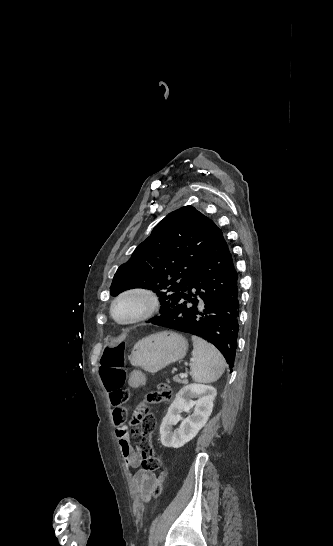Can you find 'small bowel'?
<instances>
[{
	"mask_svg": "<svg viewBox=\"0 0 333 546\" xmlns=\"http://www.w3.org/2000/svg\"><path fill=\"white\" fill-rule=\"evenodd\" d=\"M142 374L143 373L141 371H138L137 367L131 368L129 371V378L133 381L131 383L133 386L138 387L140 384L142 387L148 386V381L143 380L144 377ZM124 395L125 393L123 390L109 392L110 401L114 407L113 421L116 425V436L118 438L120 451L125 463L130 468H138L141 464L142 456L140 451L130 443L129 429L125 425L127 410L122 406V399ZM157 479V475L154 472L144 469H138L134 473V485L141 501H145L148 498L157 482Z\"/></svg>",
	"mask_w": 333,
	"mask_h": 546,
	"instance_id": "small-bowel-1",
	"label": "small bowel"
}]
</instances>
